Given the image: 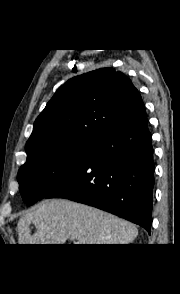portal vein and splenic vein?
I'll return each instance as SVG.
<instances>
[{
    "label": "portal vein and splenic vein",
    "mask_w": 180,
    "mask_h": 294,
    "mask_svg": "<svg viewBox=\"0 0 180 294\" xmlns=\"http://www.w3.org/2000/svg\"><path fill=\"white\" fill-rule=\"evenodd\" d=\"M74 244H79V242H74Z\"/></svg>",
    "instance_id": "obj_1"
}]
</instances>
